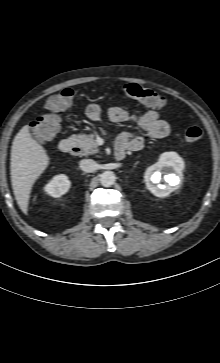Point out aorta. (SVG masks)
Returning <instances> with one entry per match:
<instances>
[{"label": "aorta", "instance_id": "762f6f07", "mask_svg": "<svg viewBox=\"0 0 220 363\" xmlns=\"http://www.w3.org/2000/svg\"><path fill=\"white\" fill-rule=\"evenodd\" d=\"M116 176L112 171H104L100 175V183L104 187H110L115 183Z\"/></svg>", "mask_w": 220, "mask_h": 363}]
</instances>
